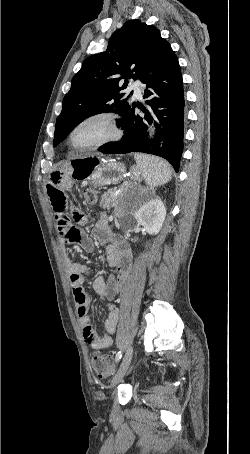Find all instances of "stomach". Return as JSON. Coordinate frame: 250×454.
Returning a JSON list of instances; mask_svg holds the SVG:
<instances>
[{
	"instance_id": "0dacf381",
	"label": "stomach",
	"mask_w": 250,
	"mask_h": 454,
	"mask_svg": "<svg viewBox=\"0 0 250 454\" xmlns=\"http://www.w3.org/2000/svg\"><path fill=\"white\" fill-rule=\"evenodd\" d=\"M72 167V173L77 179H82L92 186H103L118 183L125 173V166L114 159H101L89 157L76 160ZM50 176H62L61 172L55 171ZM141 174L135 170L133 178L139 179Z\"/></svg>"
}]
</instances>
